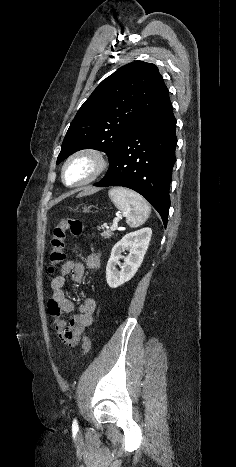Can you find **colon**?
I'll list each match as a JSON object with an SVG mask.
<instances>
[{"label": "colon", "mask_w": 236, "mask_h": 467, "mask_svg": "<svg viewBox=\"0 0 236 467\" xmlns=\"http://www.w3.org/2000/svg\"><path fill=\"white\" fill-rule=\"evenodd\" d=\"M83 232V223L78 218H65L62 219L52 229L49 250V271L52 273L54 270L65 260V239L68 234L78 236ZM91 348L90 339L85 336L82 340V354L86 355Z\"/></svg>", "instance_id": "colon-1"}]
</instances>
